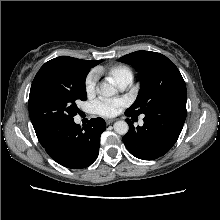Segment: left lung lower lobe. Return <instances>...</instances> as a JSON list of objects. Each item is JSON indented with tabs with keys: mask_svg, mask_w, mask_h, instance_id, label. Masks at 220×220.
Returning <instances> with one entry per match:
<instances>
[{
	"mask_svg": "<svg viewBox=\"0 0 220 220\" xmlns=\"http://www.w3.org/2000/svg\"><path fill=\"white\" fill-rule=\"evenodd\" d=\"M128 116L130 115L126 112ZM186 103L160 106L145 114L144 125L134 127L128 119V133L122 140L128 151L139 159L154 160L166 154L176 143L185 119Z\"/></svg>",
	"mask_w": 220,
	"mask_h": 220,
	"instance_id": "obj_1",
	"label": "left lung lower lobe"
}]
</instances>
